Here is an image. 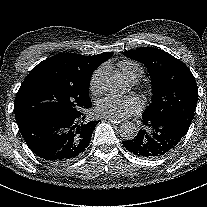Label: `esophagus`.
I'll return each mask as SVG.
<instances>
[{
  "label": "esophagus",
  "instance_id": "esophagus-1",
  "mask_svg": "<svg viewBox=\"0 0 207 207\" xmlns=\"http://www.w3.org/2000/svg\"><path fill=\"white\" fill-rule=\"evenodd\" d=\"M106 119L111 121L113 126H118L120 124V119L118 117L106 116Z\"/></svg>",
  "mask_w": 207,
  "mask_h": 207
}]
</instances>
